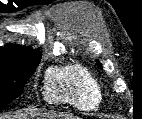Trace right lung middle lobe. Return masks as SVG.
<instances>
[{"label":"right lung middle lobe","instance_id":"1","mask_svg":"<svg viewBox=\"0 0 142 119\" xmlns=\"http://www.w3.org/2000/svg\"><path fill=\"white\" fill-rule=\"evenodd\" d=\"M38 62L0 68V110L19 97Z\"/></svg>","mask_w":142,"mask_h":119}]
</instances>
